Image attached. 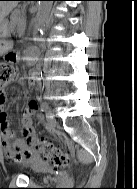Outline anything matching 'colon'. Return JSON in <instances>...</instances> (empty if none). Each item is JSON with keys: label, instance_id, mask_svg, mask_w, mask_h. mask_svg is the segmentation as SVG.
I'll return each instance as SVG.
<instances>
[{"label": "colon", "instance_id": "5ec220e1", "mask_svg": "<svg viewBox=\"0 0 137 189\" xmlns=\"http://www.w3.org/2000/svg\"><path fill=\"white\" fill-rule=\"evenodd\" d=\"M15 60V54L10 52L7 54L5 61L0 62V91L13 80L15 71L12 65ZM31 112H34L37 108V103L31 101L28 105ZM35 148L39 151L41 157L57 168H65L69 165L70 157L67 152L58 146H55L49 141H38Z\"/></svg>", "mask_w": 137, "mask_h": 189}]
</instances>
